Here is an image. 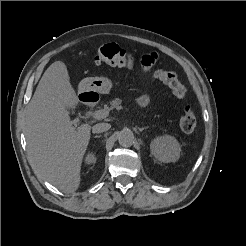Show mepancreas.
<instances>
[{
  "label": "pancreas",
  "mask_w": 246,
  "mask_h": 246,
  "mask_svg": "<svg viewBox=\"0 0 246 246\" xmlns=\"http://www.w3.org/2000/svg\"><path fill=\"white\" fill-rule=\"evenodd\" d=\"M121 102H122L121 99L115 98L114 100H112V101L109 103V104H110V108H108L107 105H105V108H106V109H110V110L115 109V108H117L118 106H120Z\"/></svg>",
  "instance_id": "obj_1"
}]
</instances>
